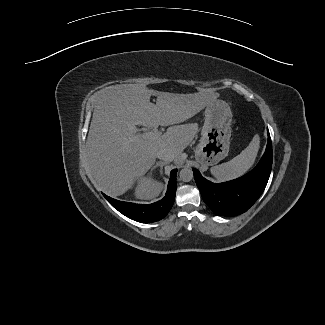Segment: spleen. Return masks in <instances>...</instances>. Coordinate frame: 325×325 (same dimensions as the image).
<instances>
[{
    "label": "spleen",
    "instance_id": "3e777b00",
    "mask_svg": "<svg viewBox=\"0 0 325 325\" xmlns=\"http://www.w3.org/2000/svg\"><path fill=\"white\" fill-rule=\"evenodd\" d=\"M260 148V137L256 134L249 145L232 160L214 166L211 173L219 181H228L245 174L254 164Z\"/></svg>",
    "mask_w": 325,
    "mask_h": 325
}]
</instances>
